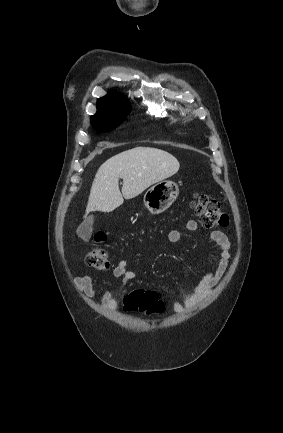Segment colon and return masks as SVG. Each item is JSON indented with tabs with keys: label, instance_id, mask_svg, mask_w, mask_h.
<instances>
[{
	"label": "colon",
	"instance_id": "colon-1",
	"mask_svg": "<svg viewBox=\"0 0 283 433\" xmlns=\"http://www.w3.org/2000/svg\"><path fill=\"white\" fill-rule=\"evenodd\" d=\"M192 207L200 223L207 228H220L229 225V216L222 210L220 203L211 199L206 194H196ZM105 237L99 235L97 241H103ZM85 263L88 267L97 271H107L110 262L106 250L100 246H93L85 255ZM126 311H138L146 314L161 313L164 309L163 302L157 293L148 290H136L124 298Z\"/></svg>",
	"mask_w": 283,
	"mask_h": 433
}]
</instances>
